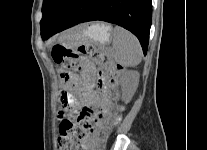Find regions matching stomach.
<instances>
[{
	"mask_svg": "<svg viewBox=\"0 0 207 150\" xmlns=\"http://www.w3.org/2000/svg\"><path fill=\"white\" fill-rule=\"evenodd\" d=\"M112 27L104 22H94L65 33L62 41L66 46H74L85 42H93L97 45L110 41Z\"/></svg>",
	"mask_w": 207,
	"mask_h": 150,
	"instance_id": "1",
	"label": "stomach"
}]
</instances>
